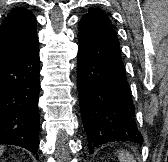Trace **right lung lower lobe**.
I'll return each instance as SVG.
<instances>
[{"instance_id": "right-lung-lower-lobe-1", "label": "right lung lower lobe", "mask_w": 168, "mask_h": 162, "mask_svg": "<svg viewBox=\"0 0 168 162\" xmlns=\"http://www.w3.org/2000/svg\"><path fill=\"white\" fill-rule=\"evenodd\" d=\"M39 48L0 66V144L39 146Z\"/></svg>"}]
</instances>
